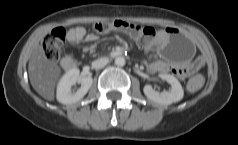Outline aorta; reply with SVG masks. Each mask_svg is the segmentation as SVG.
Segmentation results:
<instances>
[{
	"mask_svg": "<svg viewBox=\"0 0 238 145\" xmlns=\"http://www.w3.org/2000/svg\"><path fill=\"white\" fill-rule=\"evenodd\" d=\"M126 61L125 58L122 56L116 57L115 59V65L119 66V67H123L125 65Z\"/></svg>",
	"mask_w": 238,
	"mask_h": 145,
	"instance_id": "obj_1",
	"label": "aorta"
}]
</instances>
